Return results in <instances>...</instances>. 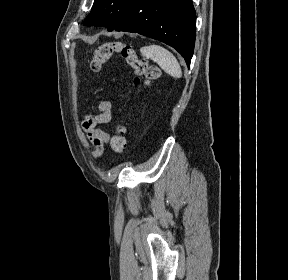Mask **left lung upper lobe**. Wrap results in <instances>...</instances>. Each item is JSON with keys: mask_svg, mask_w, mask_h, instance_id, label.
<instances>
[{"mask_svg": "<svg viewBox=\"0 0 288 280\" xmlns=\"http://www.w3.org/2000/svg\"><path fill=\"white\" fill-rule=\"evenodd\" d=\"M138 0H94L91 12L84 21L87 26H105L112 31Z\"/></svg>", "mask_w": 288, "mask_h": 280, "instance_id": "obj_1", "label": "left lung upper lobe"}]
</instances>
